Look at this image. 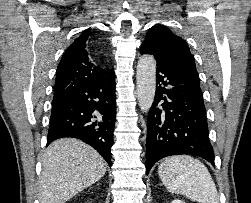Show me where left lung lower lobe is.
I'll return each instance as SVG.
<instances>
[{
  "mask_svg": "<svg viewBox=\"0 0 251 203\" xmlns=\"http://www.w3.org/2000/svg\"><path fill=\"white\" fill-rule=\"evenodd\" d=\"M140 53L152 54L142 46ZM155 59L157 87L147 119V174L158 160L171 155H196L214 165L199 80L172 61Z\"/></svg>",
  "mask_w": 251,
  "mask_h": 203,
  "instance_id": "0a47b994",
  "label": "left lung lower lobe"
}]
</instances>
